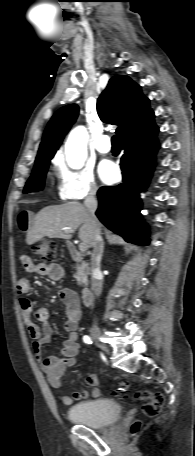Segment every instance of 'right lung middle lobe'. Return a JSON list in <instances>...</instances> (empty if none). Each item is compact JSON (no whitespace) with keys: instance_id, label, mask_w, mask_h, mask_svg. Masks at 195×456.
<instances>
[{"instance_id":"1","label":"right lung middle lobe","mask_w":195,"mask_h":456,"mask_svg":"<svg viewBox=\"0 0 195 456\" xmlns=\"http://www.w3.org/2000/svg\"><path fill=\"white\" fill-rule=\"evenodd\" d=\"M50 160L51 158H46L35 164L32 175L27 181L26 186L24 188V193L40 191L43 189L44 179L46 176V172L48 170Z\"/></svg>"}]
</instances>
